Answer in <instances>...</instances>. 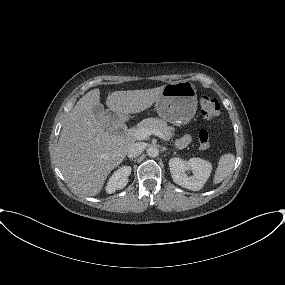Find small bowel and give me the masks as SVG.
<instances>
[{
  "label": "small bowel",
  "mask_w": 285,
  "mask_h": 285,
  "mask_svg": "<svg viewBox=\"0 0 285 285\" xmlns=\"http://www.w3.org/2000/svg\"><path fill=\"white\" fill-rule=\"evenodd\" d=\"M190 141H191L190 136L185 135L176 141V146L178 148H183V147L187 146L190 143Z\"/></svg>",
  "instance_id": "c3829d8e"
}]
</instances>
